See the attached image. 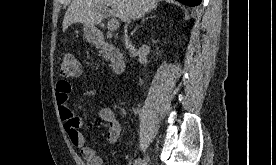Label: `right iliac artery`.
<instances>
[{
	"instance_id": "1",
	"label": "right iliac artery",
	"mask_w": 276,
	"mask_h": 165,
	"mask_svg": "<svg viewBox=\"0 0 276 165\" xmlns=\"http://www.w3.org/2000/svg\"><path fill=\"white\" fill-rule=\"evenodd\" d=\"M134 111L136 112V110H134ZM140 161H141L140 158L136 159L133 165H139Z\"/></svg>"
}]
</instances>
